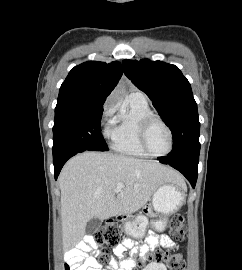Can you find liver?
Listing matches in <instances>:
<instances>
[{
    "label": "liver",
    "instance_id": "liver-1",
    "mask_svg": "<svg viewBox=\"0 0 242 270\" xmlns=\"http://www.w3.org/2000/svg\"><path fill=\"white\" fill-rule=\"evenodd\" d=\"M118 183L124 188L116 193ZM165 183L185 185L180 174L153 160L94 151L72 157L59 176L64 247L83 238L92 218L130 215Z\"/></svg>",
    "mask_w": 242,
    "mask_h": 270
}]
</instances>
